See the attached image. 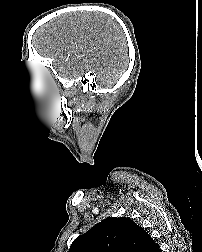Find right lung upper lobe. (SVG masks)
<instances>
[{
  "label": "right lung upper lobe",
  "instance_id": "1",
  "mask_svg": "<svg viewBox=\"0 0 202 252\" xmlns=\"http://www.w3.org/2000/svg\"><path fill=\"white\" fill-rule=\"evenodd\" d=\"M68 252H162L130 218H106L74 240Z\"/></svg>",
  "mask_w": 202,
  "mask_h": 252
}]
</instances>
